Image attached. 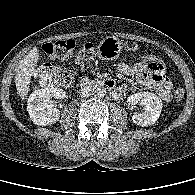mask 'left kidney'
<instances>
[{"instance_id":"obj_1","label":"left kidney","mask_w":195,"mask_h":195,"mask_svg":"<svg viewBox=\"0 0 195 195\" xmlns=\"http://www.w3.org/2000/svg\"><path fill=\"white\" fill-rule=\"evenodd\" d=\"M128 105L135 106L140 103L144 106L141 113L135 112L132 121L142 127L153 125L160 117L162 111V100L150 92H139L131 95L127 99Z\"/></svg>"}]
</instances>
